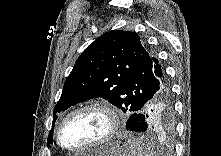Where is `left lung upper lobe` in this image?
<instances>
[{"label": "left lung upper lobe", "instance_id": "left-lung-upper-lobe-1", "mask_svg": "<svg viewBox=\"0 0 221 156\" xmlns=\"http://www.w3.org/2000/svg\"><path fill=\"white\" fill-rule=\"evenodd\" d=\"M164 71L135 32L111 30L78 57L65 81L54 113L102 97L133 114L155 93Z\"/></svg>", "mask_w": 221, "mask_h": 156}]
</instances>
